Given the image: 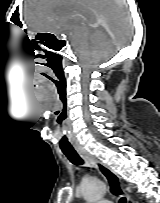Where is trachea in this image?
Segmentation results:
<instances>
[{
	"mask_svg": "<svg viewBox=\"0 0 160 203\" xmlns=\"http://www.w3.org/2000/svg\"><path fill=\"white\" fill-rule=\"evenodd\" d=\"M65 156L74 165H82L84 163L83 159L76 153L75 150H63ZM119 203H127L125 198H121Z\"/></svg>",
	"mask_w": 160,
	"mask_h": 203,
	"instance_id": "obj_1",
	"label": "trachea"
}]
</instances>
